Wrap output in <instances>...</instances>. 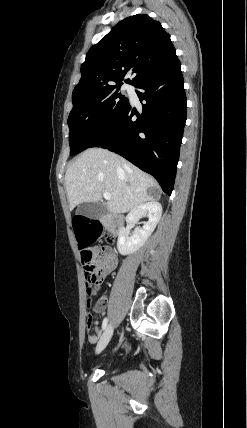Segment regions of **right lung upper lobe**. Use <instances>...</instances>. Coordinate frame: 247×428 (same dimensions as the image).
I'll use <instances>...</instances> for the list:
<instances>
[{"instance_id": "1", "label": "right lung upper lobe", "mask_w": 247, "mask_h": 428, "mask_svg": "<svg viewBox=\"0 0 247 428\" xmlns=\"http://www.w3.org/2000/svg\"><path fill=\"white\" fill-rule=\"evenodd\" d=\"M175 57L170 35L158 21L146 14L130 16L89 49L72 99L121 86L128 71L133 78L125 82L136 86Z\"/></svg>"}]
</instances>
